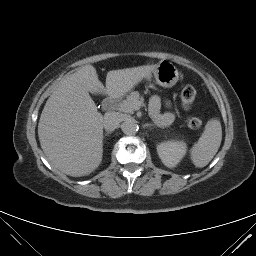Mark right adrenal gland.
Instances as JSON below:
<instances>
[{"label": "right adrenal gland", "mask_w": 256, "mask_h": 256, "mask_svg": "<svg viewBox=\"0 0 256 256\" xmlns=\"http://www.w3.org/2000/svg\"><path fill=\"white\" fill-rule=\"evenodd\" d=\"M109 134H110V133H109V132H107V133L105 134V136H109Z\"/></svg>", "instance_id": "right-adrenal-gland-1"}]
</instances>
